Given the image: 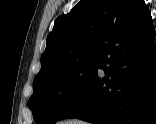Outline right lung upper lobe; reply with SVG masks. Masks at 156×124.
Masks as SVG:
<instances>
[{
	"instance_id": "cb5924a9",
	"label": "right lung upper lobe",
	"mask_w": 156,
	"mask_h": 124,
	"mask_svg": "<svg viewBox=\"0 0 156 124\" xmlns=\"http://www.w3.org/2000/svg\"><path fill=\"white\" fill-rule=\"evenodd\" d=\"M152 25L144 0H80L56 19L35 78L61 67L102 59L129 32Z\"/></svg>"
}]
</instances>
